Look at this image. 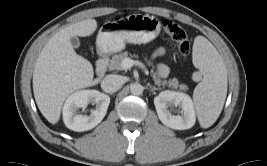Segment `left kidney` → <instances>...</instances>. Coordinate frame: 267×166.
Listing matches in <instances>:
<instances>
[{
    "label": "left kidney",
    "mask_w": 267,
    "mask_h": 166,
    "mask_svg": "<svg viewBox=\"0 0 267 166\" xmlns=\"http://www.w3.org/2000/svg\"><path fill=\"white\" fill-rule=\"evenodd\" d=\"M154 104L160 121L176 130L191 128L196 121L192 99L189 95L175 91H163L154 98ZM179 107L181 115H174L170 108Z\"/></svg>",
    "instance_id": "obj_1"
}]
</instances>
